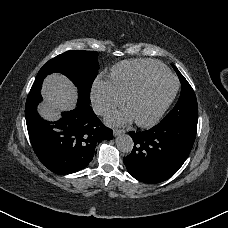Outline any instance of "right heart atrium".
Instances as JSON below:
<instances>
[{
    "instance_id": "right-heart-atrium-1",
    "label": "right heart atrium",
    "mask_w": 228,
    "mask_h": 228,
    "mask_svg": "<svg viewBox=\"0 0 228 228\" xmlns=\"http://www.w3.org/2000/svg\"><path fill=\"white\" fill-rule=\"evenodd\" d=\"M91 98L93 107L99 114H106L124 101L110 80H97Z\"/></svg>"
}]
</instances>
